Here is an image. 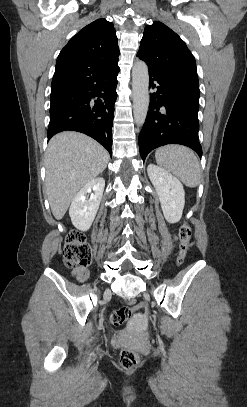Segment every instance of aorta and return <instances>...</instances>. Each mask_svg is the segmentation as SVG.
<instances>
[{"label": "aorta", "instance_id": "1", "mask_svg": "<svg viewBox=\"0 0 247 407\" xmlns=\"http://www.w3.org/2000/svg\"><path fill=\"white\" fill-rule=\"evenodd\" d=\"M149 73L144 61H136L132 69L133 113L138 126L145 122L149 107Z\"/></svg>", "mask_w": 247, "mask_h": 407}]
</instances>
